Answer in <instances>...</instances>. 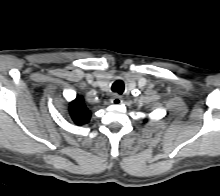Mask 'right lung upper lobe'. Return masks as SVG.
Masks as SVG:
<instances>
[{
  "label": "right lung upper lobe",
  "mask_w": 220,
  "mask_h": 196,
  "mask_svg": "<svg viewBox=\"0 0 220 196\" xmlns=\"http://www.w3.org/2000/svg\"><path fill=\"white\" fill-rule=\"evenodd\" d=\"M69 111L73 121L77 125H83L89 122L91 112L84 104V99L77 96L75 100L69 103Z\"/></svg>",
  "instance_id": "cb5924a9"
}]
</instances>
